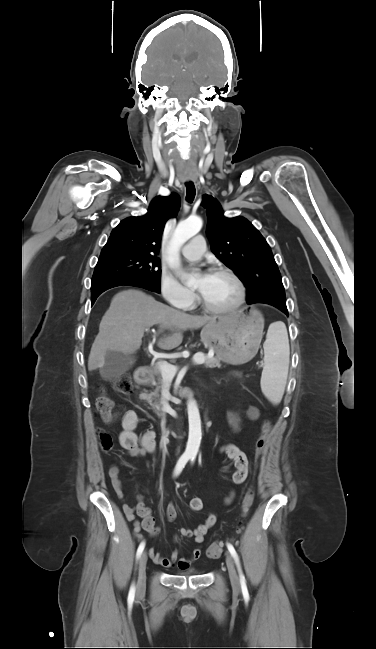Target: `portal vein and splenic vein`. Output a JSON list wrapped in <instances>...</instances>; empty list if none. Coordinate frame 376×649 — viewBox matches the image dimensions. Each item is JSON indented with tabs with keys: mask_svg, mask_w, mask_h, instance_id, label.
Returning <instances> with one entry per match:
<instances>
[{
	"mask_svg": "<svg viewBox=\"0 0 376 649\" xmlns=\"http://www.w3.org/2000/svg\"><path fill=\"white\" fill-rule=\"evenodd\" d=\"M147 330L148 329H146V331ZM193 361L195 364L201 365L205 362V357L202 354L198 353L193 356ZM159 369L163 379L166 380H172L178 370L176 366L168 364L167 362H160Z\"/></svg>",
	"mask_w": 376,
	"mask_h": 649,
	"instance_id": "portal-vein-and-splenic-vein-1",
	"label": "portal vein and splenic vein"
}]
</instances>
